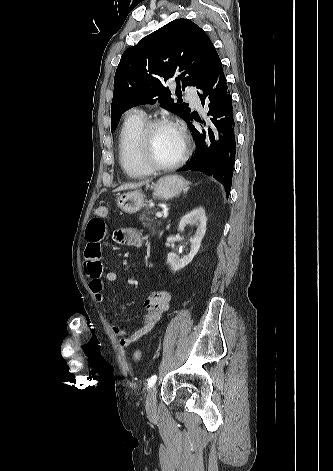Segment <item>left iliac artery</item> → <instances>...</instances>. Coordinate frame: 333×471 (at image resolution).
<instances>
[{
    "mask_svg": "<svg viewBox=\"0 0 333 471\" xmlns=\"http://www.w3.org/2000/svg\"><path fill=\"white\" fill-rule=\"evenodd\" d=\"M157 380V375H153L148 379V388H151Z\"/></svg>",
    "mask_w": 333,
    "mask_h": 471,
    "instance_id": "44dca946",
    "label": "left iliac artery"
}]
</instances>
